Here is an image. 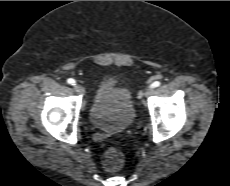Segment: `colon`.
<instances>
[{
  "mask_svg": "<svg viewBox=\"0 0 230 186\" xmlns=\"http://www.w3.org/2000/svg\"><path fill=\"white\" fill-rule=\"evenodd\" d=\"M101 163L108 171H117L124 164V155L115 148H108L101 156Z\"/></svg>",
  "mask_w": 230,
  "mask_h": 186,
  "instance_id": "colon-1",
  "label": "colon"
}]
</instances>
